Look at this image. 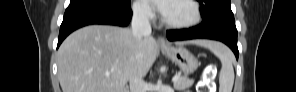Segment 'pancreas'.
<instances>
[{"mask_svg": "<svg viewBox=\"0 0 296 92\" xmlns=\"http://www.w3.org/2000/svg\"><path fill=\"white\" fill-rule=\"evenodd\" d=\"M193 84V79H188L186 76H181L179 77V80L174 83V88L180 91L191 87Z\"/></svg>", "mask_w": 296, "mask_h": 92, "instance_id": "cf45deb5", "label": "pancreas"}]
</instances>
